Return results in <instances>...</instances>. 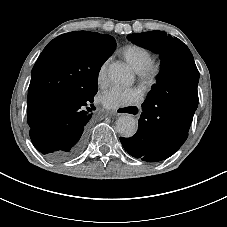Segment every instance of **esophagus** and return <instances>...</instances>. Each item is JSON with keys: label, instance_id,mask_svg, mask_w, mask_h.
<instances>
[{"label": "esophagus", "instance_id": "34e87169", "mask_svg": "<svg viewBox=\"0 0 227 227\" xmlns=\"http://www.w3.org/2000/svg\"><path fill=\"white\" fill-rule=\"evenodd\" d=\"M140 106L138 105H135V106H119L117 109H116V112L119 114V115H133V116H136L139 114L140 112Z\"/></svg>", "mask_w": 227, "mask_h": 227}]
</instances>
